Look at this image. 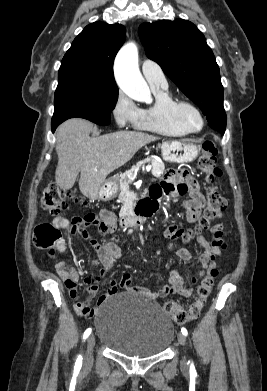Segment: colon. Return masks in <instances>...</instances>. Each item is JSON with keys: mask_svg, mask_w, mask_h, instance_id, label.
Listing matches in <instances>:
<instances>
[{"mask_svg": "<svg viewBox=\"0 0 267 391\" xmlns=\"http://www.w3.org/2000/svg\"><path fill=\"white\" fill-rule=\"evenodd\" d=\"M216 156L217 149L214 143L210 140H206L203 143L202 153L198 158L197 165L199 170L205 175L206 182L210 184L207 205L195 228L184 232L183 237L186 239L194 233L210 229L213 221L219 219L226 208V199L214 185L222 174L221 170L216 165ZM71 201H79V198L75 193L64 190L52 183L45 187L40 202L41 207L45 211L56 217L60 216L69 208ZM99 228L103 234L107 233V228L103 223L99 224ZM33 238L37 247L50 249V253H53V247L60 239V232L50 223H40L34 229ZM107 242L106 239H103L101 242L94 241V245L99 248L104 246ZM217 275L218 271L216 269L210 271L209 275L201 281L196 290L195 298L188 307L185 308L172 300H167L163 304L164 310L179 324H185L197 319L210 295Z\"/></svg>", "mask_w": 267, "mask_h": 391, "instance_id": "colon-1", "label": "colon"}]
</instances>
